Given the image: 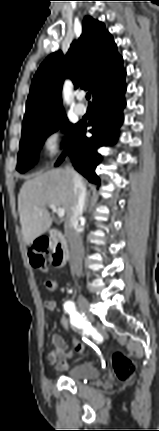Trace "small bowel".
<instances>
[{
    "label": "small bowel",
    "instance_id": "obj_1",
    "mask_svg": "<svg viewBox=\"0 0 159 431\" xmlns=\"http://www.w3.org/2000/svg\"><path fill=\"white\" fill-rule=\"evenodd\" d=\"M63 279L60 280H50L46 284V288L48 291H54L61 283ZM53 300H47L45 302V306L47 308V302ZM55 304V302H54ZM55 308V307H54ZM72 324V323H71ZM75 339V338H74ZM52 349L48 352V361L50 364L54 365L58 369H64L67 367V360L72 357L74 352H77L74 349L67 350L68 346L65 340L58 334H53L51 336ZM73 345V341H72Z\"/></svg>",
    "mask_w": 159,
    "mask_h": 431
}]
</instances>
